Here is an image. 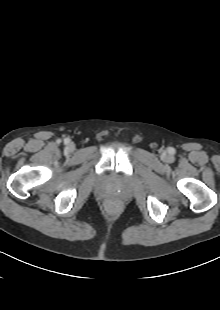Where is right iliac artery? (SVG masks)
I'll return each mask as SVG.
<instances>
[{"mask_svg":"<svg viewBox=\"0 0 220 310\" xmlns=\"http://www.w3.org/2000/svg\"><path fill=\"white\" fill-rule=\"evenodd\" d=\"M69 142V140H65V143H68Z\"/></svg>","mask_w":220,"mask_h":310,"instance_id":"obj_1","label":"right iliac artery"}]
</instances>
